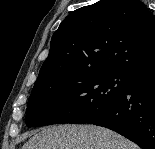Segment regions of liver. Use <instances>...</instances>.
I'll use <instances>...</instances> for the list:
<instances>
[{
    "mask_svg": "<svg viewBox=\"0 0 155 149\" xmlns=\"http://www.w3.org/2000/svg\"><path fill=\"white\" fill-rule=\"evenodd\" d=\"M22 149H139L125 137L94 125H59L33 135Z\"/></svg>",
    "mask_w": 155,
    "mask_h": 149,
    "instance_id": "liver-1",
    "label": "liver"
}]
</instances>
